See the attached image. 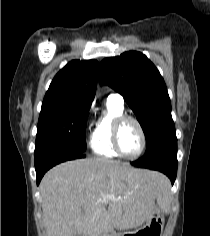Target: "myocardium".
<instances>
[{
    "instance_id": "obj_1",
    "label": "myocardium",
    "mask_w": 210,
    "mask_h": 236,
    "mask_svg": "<svg viewBox=\"0 0 210 236\" xmlns=\"http://www.w3.org/2000/svg\"><path fill=\"white\" fill-rule=\"evenodd\" d=\"M126 121L134 122L137 125L140 135H141V147H140L139 151L133 156H128V155L124 154L121 149V146H120V131H121V127H122L123 123ZM112 144H113V148H114L115 152L118 154L119 157L127 159V160H135V159L139 158L142 155V153L144 152V150L146 148V144H147L146 133H145V130H144L141 122L136 117L131 116V115L122 114V115L118 116L114 120V123H113Z\"/></svg>"
}]
</instances>
